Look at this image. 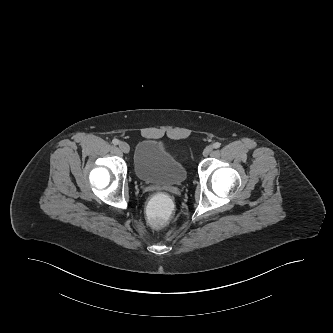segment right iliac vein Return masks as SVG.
Wrapping results in <instances>:
<instances>
[{
    "instance_id": "obj_1",
    "label": "right iliac vein",
    "mask_w": 333,
    "mask_h": 333,
    "mask_svg": "<svg viewBox=\"0 0 333 333\" xmlns=\"http://www.w3.org/2000/svg\"><path fill=\"white\" fill-rule=\"evenodd\" d=\"M119 149L123 152V153H128L130 151V147L126 142H120L119 143Z\"/></svg>"
}]
</instances>
